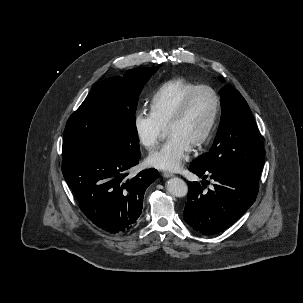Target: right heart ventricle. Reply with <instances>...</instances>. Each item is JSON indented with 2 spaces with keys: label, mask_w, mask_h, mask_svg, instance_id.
<instances>
[{
  "label": "right heart ventricle",
  "mask_w": 303,
  "mask_h": 303,
  "mask_svg": "<svg viewBox=\"0 0 303 303\" xmlns=\"http://www.w3.org/2000/svg\"><path fill=\"white\" fill-rule=\"evenodd\" d=\"M197 84L184 78L170 79L161 84L150 99V110L156 119L167 125L184 96Z\"/></svg>",
  "instance_id": "1"
}]
</instances>
